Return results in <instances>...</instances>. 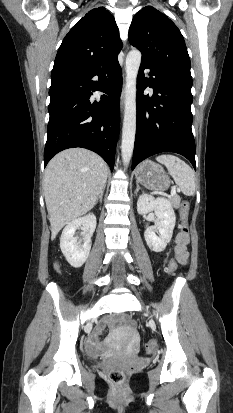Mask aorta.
Masks as SVG:
<instances>
[{"instance_id": "aorta-1", "label": "aorta", "mask_w": 233, "mask_h": 413, "mask_svg": "<svg viewBox=\"0 0 233 413\" xmlns=\"http://www.w3.org/2000/svg\"><path fill=\"white\" fill-rule=\"evenodd\" d=\"M141 57V52L137 49L131 50L126 57L125 110L121 143L124 165L129 164L134 149L136 133V85Z\"/></svg>"}]
</instances>
